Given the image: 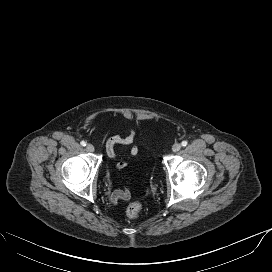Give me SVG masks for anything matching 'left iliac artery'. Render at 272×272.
Returning a JSON list of instances; mask_svg holds the SVG:
<instances>
[{"instance_id": "left-iliac-artery-1", "label": "left iliac artery", "mask_w": 272, "mask_h": 272, "mask_svg": "<svg viewBox=\"0 0 272 272\" xmlns=\"http://www.w3.org/2000/svg\"><path fill=\"white\" fill-rule=\"evenodd\" d=\"M187 144H188V143H187V141H185V140L182 141V143H181V145L184 146V147L187 146Z\"/></svg>"}]
</instances>
